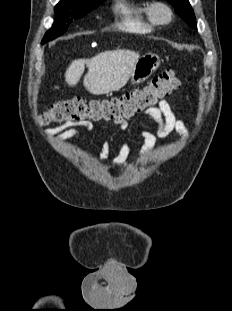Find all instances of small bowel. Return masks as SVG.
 Wrapping results in <instances>:
<instances>
[{"mask_svg":"<svg viewBox=\"0 0 232 311\" xmlns=\"http://www.w3.org/2000/svg\"><path fill=\"white\" fill-rule=\"evenodd\" d=\"M145 115L149 117L156 125V133H153L146 128H142L140 134L144 142L139 155L135 158H130L129 144L124 143L113 159V168L127 167L133 164L135 161L145 157L153 147L157 136L164 137L172 132H178L183 135L186 133L185 124L176 117L172 107L165 100L160 101L157 106L148 108L145 111ZM114 124L122 132H126L129 128L128 122L124 120L114 121ZM92 129L93 125L88 121L66 122L60 126L47 129L45 131V135L51 137L55 143H61L63 141L72 139L82 132H90ZM109 154L110 145L106 140L102 145L99 159L101 161H106L109 158Z\"/></svg>","mask_w":232,"mask_h":311,"instance_id":"1","label":"small bowel"}]
</instances>
